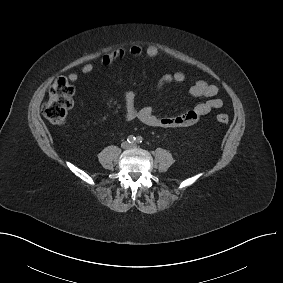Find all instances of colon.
<instances>
[{
  "mask_svg": "<svg viewBox=\"0 0 283 283\" xmlns=\"http://www.w3.org/2000/svg\"><path fill=\"white\" fill-rule=\"evenodd\" d=\"M73 95L74 88L66 79L57 80L50 88L48 100L42 107L44 117L53 124H64L73 107ZM216 120L220 124H227L229 116L220 113L216 116Z\"/></svg>",
  "mask_w": 283,
  "mask_h": 283,
  "instance_id": "5ec220e1",
  "label": "colon"
}]
</instances>
